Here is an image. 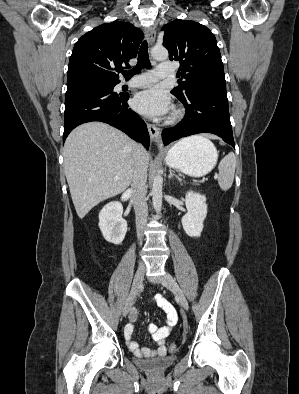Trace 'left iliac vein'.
<instances>
[{
	"instance_id": "1",
	"label": "left iliac vein",
	"mask_w": 299,
	"mask_h": 394,
	"mask_svg": "<svg viewBox=\"0 0 299 394\" xmlns=\"http://www.w3.org/2000/svg\"><path fill=\"white\" fill-rule=\"evenodd\" d=\"M160 282L163 286H165L170 291H172L176 296L177 300L179 301V303L181 304V306L185 310H188L189 308L188 301L183 291L181 290L180 286L175 281V279L169 273H165V275L162 278H160Z\"/></svg>"
}]
</instances>
